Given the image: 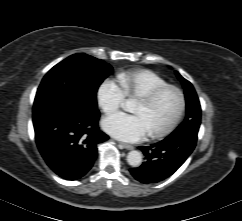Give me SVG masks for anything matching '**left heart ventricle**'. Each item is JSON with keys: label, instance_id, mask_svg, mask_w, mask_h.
I'll list each match as a JSON object with an SVG mask.
<instances>
[{"label": "left heart ventricle", "instance_id": "1", "mask_svg": "<svg viewBox=\"0 0 242 221\" xmlns=\"http://www.w3.org/2000/svg\"><path fill=\"white\" fill-rule=\"evenodd\" d=\"M178 108V98L173 92H166L156 102L147 105L137 101L133 113L141 116L148 127L149 132L167 125L174 117Z\"/></svg>", "mask_w": 242, "mask_h": 221}]
</instances>
